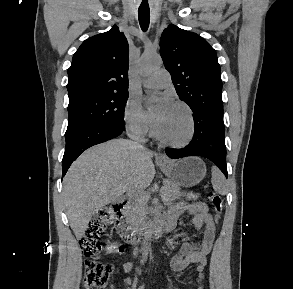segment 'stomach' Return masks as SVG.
Returning <instances> with one entry per match:
<instances>
[{
    "label": "stomach",
    "instance_id": "1",
    "mask_svg": "<svg viewBox=\"0 0 293 289\" xmlns=\"http://www.w3.org/2000/svg\"><path fill=\"white\" fill-rule=\"evenodd\" d=\"M159 166L169 180L179 186H195L206 175V165L198 157L169 160L166 164H159Z\"/></svg>",
    "mask_w": 293,
    "mask_h": 289
}]
</instances>
